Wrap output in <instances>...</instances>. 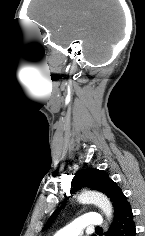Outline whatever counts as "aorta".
I'll return each mask as SVG.
<instances>
[{
    "instance_id": "obj_1",
    "label": "aorta",
    "mask_w": 145,
    "mask_h": 236,
    "mask_svg": "<svg viewBox=\"0 0 145 236\" xmlns=\"http://www.w3.org/2000/svg\"><path fill=\"white\" fill-rule=\"evenodd\" d=\"M77 201L82 204L97 205L109 221L112 219V204L102 193L96 191H83L80 195H78Z\"/></svg>"
}]
</instances>
